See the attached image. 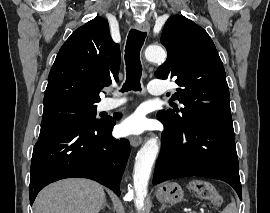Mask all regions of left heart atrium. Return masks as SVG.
Segmentation results:
<instances>
[{
	"label": "left heart atrium",
	"mask_w": 270,
	"mask_h": 213,
	"mask_svg": "<svg viewBox=\"0 0 270 213\" xmlns=\"http://www.w3.org/2000/svg\"><path fill=\"white\" fill-rule=\"evenodd\" d=\"M145 128V119L141 113H134L125 119L121 126V132L124 135H137L143 132Z\"/></svg>",
	"instance_id": "39dd6f15"
}]
</instances>
